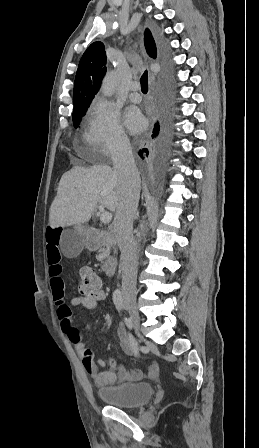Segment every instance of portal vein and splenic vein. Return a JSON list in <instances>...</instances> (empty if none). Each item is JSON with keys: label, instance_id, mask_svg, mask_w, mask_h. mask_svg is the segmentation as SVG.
<instances>
[{"label": "portal vein and splenic vein", "instance_id": "18ae733b", "mask_svg": "<svg viewBox=\"0 0 259 448\" xmlns=\"http://www.w3.org/2000/svg\"><path fill=\"white\" fill-rule=\"evenodd\" d=\"M111 220H112V214H110V212H101L100 222H103V224H109Z\"/></svg>", "mask_w": 259, "mask_h": 448}]
</instances>
